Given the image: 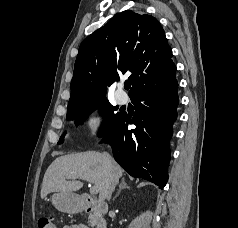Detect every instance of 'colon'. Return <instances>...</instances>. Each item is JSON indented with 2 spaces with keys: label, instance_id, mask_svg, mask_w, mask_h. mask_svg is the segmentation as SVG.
<instances>
[{
  "label": "colon",
  "instance_id": "5ec220e1",
  "mask_svg": "<svg viewBox=\"0 0 238 228\" xmlns=\"http://www.w3.org/2000/svg\"><path fill=\"white\" fill-rule=\"evenodd\" d=\"M38 228H57L56 224L47 216H40L37 220Z\"/></svg>",
  "mask_w": 238,
  "mask_h": 228
}]
</instances>
